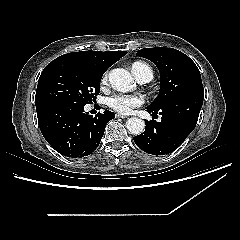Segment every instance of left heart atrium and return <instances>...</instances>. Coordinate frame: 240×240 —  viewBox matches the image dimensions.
Returning a JSON list of instances; mask_svg holds the SVG:
<instances>
[{
	"label": "left heart atrium",
	"instance_id": "obj_1",
	"mask_svg": "<svg viewBox=\"0 0 240 240\" xmlns=\"http://www.w3.org/2000/svg\"><path fill=\"white\" fill-rule=\"evenodd\" d=\"M143 102L144 99L141 95L123 93L113 94L107 100L111 109L123 114L131 112L133 108L142 105Z\"/></svg>",
	"mask_w": 240,
	"mask_h": 240
}]
</instances>
